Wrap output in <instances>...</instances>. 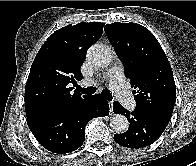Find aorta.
Returning a JSON list of instances; mask_svg holds the SVG:
<instances>
[{
    "mask_svg": "<svg viewBox=\"0 0 196 166\" xmlns=\"http://www.w3.org/2000/svg\"><path fill=\"white\" fill-rule=\"evenodd\" d=\"M87 58L97 67H107L112 61V51L102 44H94L89 48ZM110 127L116 133H124L128 129L129 123L125 116L116 114L110 120Z\"/></svg>",
    "mask_w": 196,
    "mask_h": 166,
    "instance_id": "aorta-1",
    "label": "aorta"
}]
</instances>
